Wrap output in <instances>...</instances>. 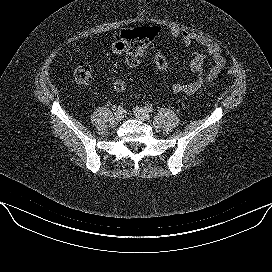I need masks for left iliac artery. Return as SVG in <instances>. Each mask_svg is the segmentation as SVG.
Returning a JSON list of instances; mask_svg holds the SVG:
<instances>
[{"label": "left iliac artery", "instance_id": "1", "mask_svg": "<svg viewBox=\"0 0 272 272\" xmlns=\"http://www.w3.org/2000/svg\"><path fill=\"white\" fill-rule=\"evenodd\" d=\"M146 111L149 112V113H152L153 112V108L151 106H146L145 107Z\"/></svg>", "mask_w": 272, "mask_h": 272}]
</instances>
